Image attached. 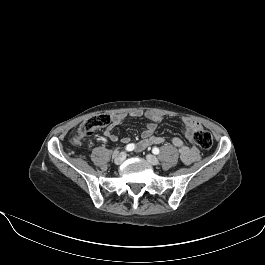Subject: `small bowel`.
I'll return each mask as SVG.
<instances>
[{
	"instance_id": "1",
	"label": "small bowel",
	"mask_w": 265,
	"mask_h": 265,
	"mask_svg": "<svg viewBox=\"0 0 265 265\" xmlns=\"http://www.w3.org/2000/svg\"><path fill=\"white\" fill-rule=\"evenodd\" d=\"M129 117L132 118L146 117L147 119L150 120V122L144 127L141 140L136 144V151H142L151 145L161 144L164 142V139L162 137L155 135L158 124H160L163 121V117L161 115L154 112L133 110L129 113ZM126 118L127 115L125 113L113 114L111 116V121L105 130L104 133L105 136L109 138L111 141H117L118 136L113 133V129L118 126H121ZM182 123L184 126V135L186 139L189 141V144H186L179 137H172L170 139V143L176 148H178L182 162L189 165L194 163L200 158L199 149L194 141V134L197 130H200L202 127L200 123L188 117H183ZM129 141H130L129 137L122 138V142L124 143H128Z\"/></svg>"
}]
</instances>
